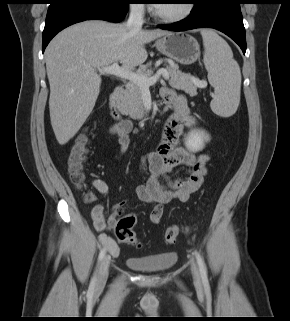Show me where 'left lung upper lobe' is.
Returning <instances> with one entry per match:
<instances>
[{
	"mask_svg": "<svg viewBox=\"0 0 290 321\" xmlns=\"http://www.w3.org/2000/svg\"><path fill=\"white\" fill-rule=\"evenodd\" d=\"M207 0H191V3L194 4V7H199L203 3H205Z\"/></svg>",
	"mask_w": 290,
	"mask_h": 321,
	"instance_id": "obj_1",
	"label": "left lung upper lobe"
}]
</instances>
